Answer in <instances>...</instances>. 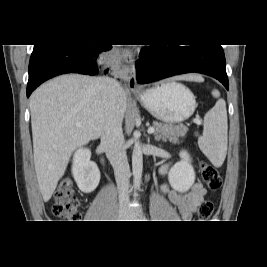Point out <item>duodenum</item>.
<instances>
[{"label": "duodenum", "mask_w": 267, "mask_h": 267, "mask_svg": "<svg viewBox=\"0 0 267 267\" xmlns=\"http://www.w3.org/2000/svg\"><path fill=\"white\" fill-rule=\"evenodd\" d=\"M101 163H102V165H103L105 168H107V164H106V162H105L104 159H101Z\"/></svg>", "instance_id": "duodenum-1"}]
</instances>
